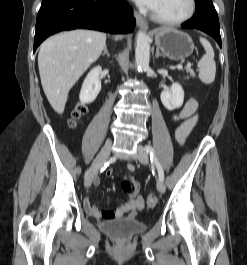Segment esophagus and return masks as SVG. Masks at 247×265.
<instances>
[{
    "mask_svg": "<svg viewBox=\"0 0 247 265\" xmlns=\"http://www.w3.org/2000/svg\"><path fill=\"white\" fill-rule=\"evenodd\" d=\"M135 19H136V23L137 26L143 30H148V23L145 20L144 17H142L139 13L135 12L134 13Z\"/></svg>",
    "mask_w": 247,
    "mask_h": 265,
    "instance_id": "obj_1",
    "label": "esophagus"
}]
</instances>
